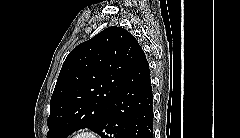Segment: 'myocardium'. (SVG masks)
<instances>
[{
	"instance_id": "f54148a6",
	"label": "myocardium",
	"mask_w": 240,
	"mask_h": 138,
	"mask_svg": "<svg viewBox=\"0 0 240 138\" xmlns=\"http://www.w3.org/2000/svg\"><path fill=\"white\" fill-rule=\"evenodd\" d=\"M77 138H98V135L91 130H83L78 133Z\"/></svg>"
}]
</instances>
